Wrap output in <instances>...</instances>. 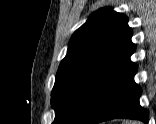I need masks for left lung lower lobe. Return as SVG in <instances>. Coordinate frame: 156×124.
Segmentation results:
<instances>
[{
  "mask_svg": "<svg viewBox=\"0 0 156 124\" xmlns=\"http://www.w3.org/2000/svg\"><path fill=\"white\" fill-rule=\"evenodd\" d=\"M130 56L106 80L78 124H95L115 118L148 123L149 113L139 104L141 88L133 79L137 65L130 61Z\"/></svg>",
  "mask_w": 156,
  "mask_h": 124,
  "instance_id": "1",
  "label": "left lung lower lobe"
}]
</instances>
